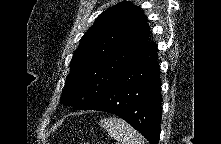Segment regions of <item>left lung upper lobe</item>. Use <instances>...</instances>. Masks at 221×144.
<instances>
[{"instance_id":"left-lung-upper-lobe-1","label":"left lung upper lobe","mask_w":221,"mask_h":144,"mask_svg":"<svg viewBox=\"0 0 221 144\" xmlns=\"http://www.w3.org/2000/svg\"><path fill=\"white\" fill-rule=\"evenodd\" d=\"M147 17L120 2L98 16L80 40L70 63L61 102L87 110L149 45Z\"/></svg>"}]
</instances>
